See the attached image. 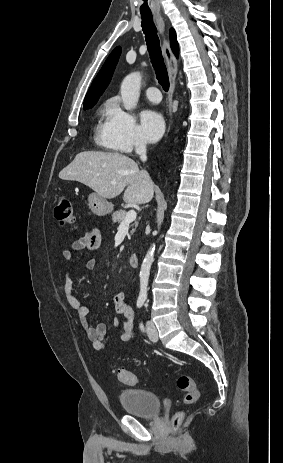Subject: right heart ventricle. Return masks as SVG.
I'll return each mask as SVG.
<instances>
[{"label": "right heart ventricle", "mask_w": 283, "mask_h": 463, "mask_svg": "<svg viewBox=\"0 0 283 463\" xmlns=\"http://www.w3.org/2000/svg\"><path fill=\"white\" fill-rule=\"evenodd\" d=\"M109 113V108L104 112L105 121L100 122L96 127V138L97 141L108 150H116V146L110 141L107 133V117Z\"/></svg>", "instance_id": "right-heart-ventricle-1"}]
</instances>
